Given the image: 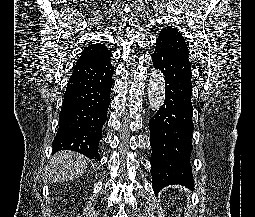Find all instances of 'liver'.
<instances>
[{"instance_id": "liver-1", "label": "liver", "mask_w": 255, "mask_h": 217, "mask_svg": "<svg viewBox=\"0 0 255 217\" xmlns=\"http://www.w3.org/2000/svg\"><path fill=\"white\" fill-rule=\"evenodd\" d=\"M86 168L87 162L84 156L72 151H60L51 159L49 180L54 183L65 182L79 177Z\"/></svg>"}]
</instances>
